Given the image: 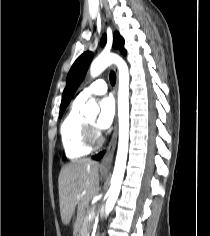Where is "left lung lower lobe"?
<instances>
[{
  "instance_id": "0a47b994",
  "label": "left lung lower lobe",
  "mask_w": 210,
  "mask_h": 236,
  "mask_svg": "<svg viewBox=\"0 0 210 236\" xmlns=\"http://www.w3.org/2000/svg\"><path fill=\"white\" fill-rule=\"evenodd\" d=\"M103 154H104V152H102V153H100L98 155H95V156H93V159L98 160V159H100L103 156Z\"/></svg>"
}]
</instances>
